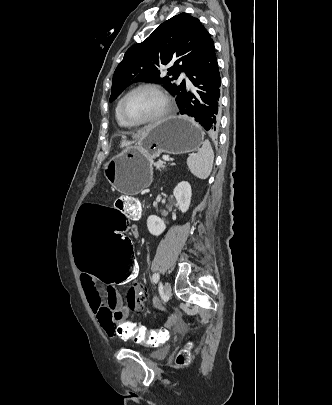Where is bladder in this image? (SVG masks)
<instances>
[{"mask_svg":"<svg viewBox=\"0 0 332 405\" xmlns=\"http://www.w3.org/2000/svg\"><path fill=\"white\" fill-rule=\"evenodd\" d=\"M168 351H169V349L167 346H161V347L157 348L156 350L152 351L149 354V357L152 359H161L167 355Z\"/></svg>","mask_w":332,"mask_h":405,"instance_id":"obj_1","label":"bladder"}]
</instances>
